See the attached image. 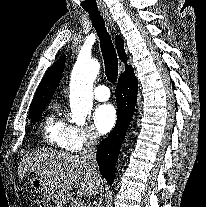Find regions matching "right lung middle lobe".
Wrapping results in <instances>:
<instances>
[{
  "label": "right lung middle lobe",
  "mask_w": 206,
  "mask_h": 207,
  "mask_svg": "<svg viewBox=\"0 0 206 207\" xmlns=\"http://www.w3.org/2000/svg\"><path fill=\"white\" fill-rule=\"evenodd\" d=\"M45 105L46 104L41 105V106H38V107H35L33 109H30L29 117H30V119H31L32 122H35L38 119V117L44 111Z\"/></svg>",
  "instance_id": "1"
}]
</instances>
